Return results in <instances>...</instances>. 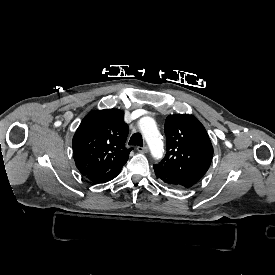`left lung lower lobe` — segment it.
<instances>
[{
    "instance_id": "0a47b994",
    "label": "left lung lower lobe",
    "mask_w": 275,
    "mask_h": 275,
    "mask_svg": "<svg viewBox=\"0 0 275 275\" xmlns=\"http://www.w3.org/2000/svg\"><path fill=\"white\" fill-rule=\"evenodd\" d=\"M154 171L156 177L164 182L166 185L176 189L184 188L175 177H173L169 172L161 168L158 164L154 165Z\"/></svg>"
}]
</instances>
